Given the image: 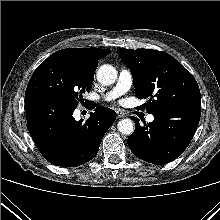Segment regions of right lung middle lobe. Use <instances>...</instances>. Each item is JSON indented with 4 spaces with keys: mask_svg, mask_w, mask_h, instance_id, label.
<instances>
[{
    "mask_svg": "<svg viewBox=\"0 0 220 220\" xmlns=\"http://www.w3.org/2000/svg\"><path fill=\"white\" fill-rule=\"evenodd\" d=\"M94 73L73 58L53 54L33 72L25 97L48 96L77 106L92 88Z\"/></svg>",
    "mask_w": 220,
    "mask_h": 220,
    "instance_id": "right-lung-middle-lobe-1",
    "label": "right lung middle lobe"
}]
</instances>
